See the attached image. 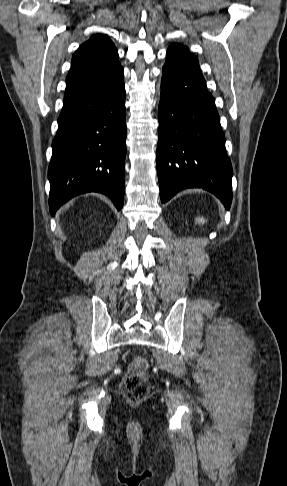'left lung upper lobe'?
<instances>
[{
  "label": "left lung upper lobe",
  "mask_w": 287,
  "mask_h": 486,
  "mask_svg": "<svg viewBox=\"0 0 287 486\" xmlns=\"http://www.w3.org/2000/svg\"><path fill=\"white\" fill-rule=\"evenodd\" d=\"M167 57L175 60L179 64L190 69L194 73L202 76V72L199 67L198 58L191 54L188 48L179 43H173L167 50Z\"/></svg>",
  "instance_id": "1"
}]
</instances>
